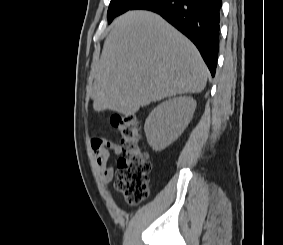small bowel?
Instances as JSON below:
<instances>
[{
  "instance_id": "small-bowel-1",
  "label": "small bowel",
  "mask_w": 283,
  "mask_h": 245,
  "mask_svg": "<svg viewBox=\"0 0 283 245\" xmlns=\"http://www.w3.org/2000/svg\"><path fill=\"white\" fill-rule=\"evenodd\" d=\"M91 148L103 181L110 182L114 177V169L109 165L110 153L112 152L115 155H119L122 152V147L107 138L93 137L91 139Z\"/></svg>"
}]
</instances>
